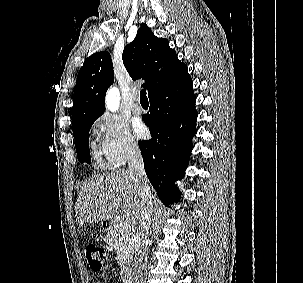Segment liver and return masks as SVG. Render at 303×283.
I'll list each match as a JSON object with an SVG mask.
<instances>
[{"label": "liver", "instance_id": "liver-1", "mask_svg": "<svg viewBox=\"0 0 303 283\" xmlns=\"http://www.w3.org/2000/svg\"><path fill=\"white\" fill-rule=\"evenodd\" d=\"M147 183L134 181L127 170L92 177L85 182L77 196L76 223L112 220L121 212L124 222L135 225L142 215L140 189ZM153 199V191L150 189Z\"/></svg>", "mask_w": 303, "mask_h": 283}]
</instances>
